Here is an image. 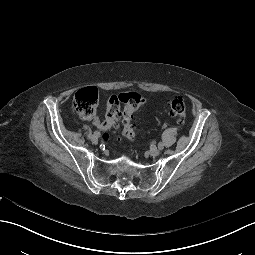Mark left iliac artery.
<instances>
[{"label":"left iliac artery","instance_id":"44dca946","mask_svg":"<svg viewBox=\"0 0 255 255\" xmlns=\"http://www.w3.org/2000/svg\"><path fill=\"white\" fill-rule=\"evenodd\" d=\"M163 147H164L163 143H162V142H159L158 148L161 150V149H163Z\"/></svg>","mask_w":255,"mask_h":255}]
</instances>
